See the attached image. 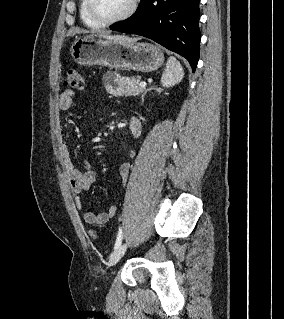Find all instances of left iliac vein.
Returning a JSON list of instances; mask_svg holds the SVG:
<instances>
[{
    "instance_id": "4c4485c4",
    "label": "left iliac vein",
    "mask_w": 284,
    "mask_h": 319,
    "mask_svg": "<svg viewBox=\"0 0 284 319\" xmlns=\"http://www.w3.org/2000/svg\"><path fill=\"white\" fill-rule=\"evenodd\" d=\"M126 249H127V243H124V244L120 245L117 249H115L112 252V254L110 255L109 265L110 266L115 265L122 258V256L125 254Z\"/></svg>"
}]
</instances>
